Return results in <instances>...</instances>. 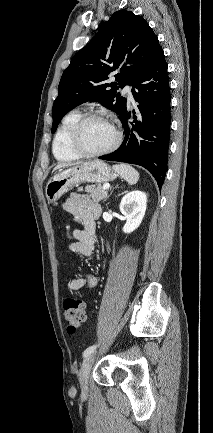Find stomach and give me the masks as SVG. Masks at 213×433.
I'll return each mask as SVG.
<instances>
[{
    "mask_svg": "<svg viewBox=\"0 0 213 433\" xmlns=\"http://www.w3.org/2000/svg\"><path fill=\"white\" fill-rule=\"evenodd\" d=\"M116 177V172L103 161H89L63 170L52 177L46 185V198L52 203L80 183H104Z\"/></svg>",
    "mask_w": 213,
    "mask_h": 433,
    "instance_id": "stomach-1",
    "label": "stomach"
}]
</instances>
